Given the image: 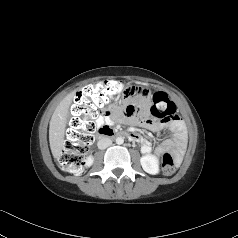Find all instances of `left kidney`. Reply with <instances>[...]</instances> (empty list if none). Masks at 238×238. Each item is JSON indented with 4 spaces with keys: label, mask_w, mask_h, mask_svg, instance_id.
<instances>
[{
    "label": "left kidney",
    "mask_w": 238,
    "mask_h": 238,
    "mask_svg": "<svg viewBox=\"0 0 238 238\" xmlns=\"http://www.w3.org/2000/svg\"><path fill=\"white\" fill-rule=\"evenodd\" d=\"M140 163L145 172L156 175L159 173V162L156 156L147 154L141 157Z\"/></svg>",
    "instance_id": "left-kidney-1"
}]
</instances>
